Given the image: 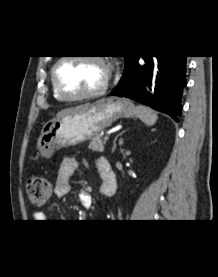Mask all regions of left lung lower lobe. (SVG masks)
Segmentation results:
<instances>
[{
  "mask_svg": "<svg viewBox=\"0 0 218 277\" xmlns=\"http://www.w3.org/2000/svg\"><path fill=\"white\" fill-rule=\"evenodd\" d=\"M137 58L125 65L121 80L110 94L134 99L178 121L186 85V56H144V66Z\"/></svg>",
  "mask_w": 218,
  "mask_h": 277,
  "instance_id": "obj_1",
  "label": "left lung lower lobe"
}]
</instances>
